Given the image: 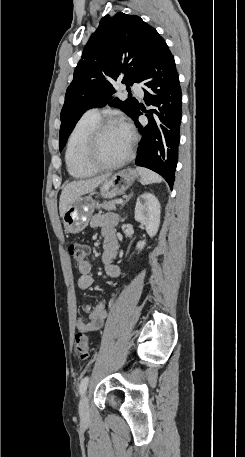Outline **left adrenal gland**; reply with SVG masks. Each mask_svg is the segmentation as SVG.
Listing matches in <instances>:
<instances>
[{
	"label": "left adrenal gland",
	"instance_id": "a2214340",
	"mask_svg": "<svg viewBox=\"0 0 245 457\" xmlns=\"http://www.w3.org/2000/svg\"><path fill=\"white\" fill-rule=\"evenodd\" d=\"M134 192H130L129 196H127L126 200H124V202H122L121 206H123V204H125V202H127V200H129V198H131V196H133Z\"/></svg>",
	"mask_w": 245,
	"mask_h": 457
}]
</instances>
